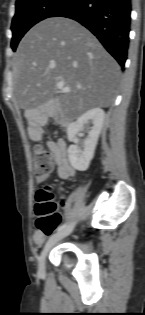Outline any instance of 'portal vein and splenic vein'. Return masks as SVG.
Here are the masks:
<instances>
[{"mask_svg": "<svg viewBox=\"0 0 145 315\" xmlns=\"http://www.w3.org/2000/svg\"><path fill=\"white\" fill-rule=\"evenodd\" d=\"M56 87H57V89L60 90L62 93L70 92V88L65 87V82H64V81H59V82L56 84ZM79 89H81V88H79Z\"/></svg>", "mask_w": 145, "mask_h": 315, "instance_id": "18ae733b", "label": "portal vein and splenic vein"}]
</instances>
